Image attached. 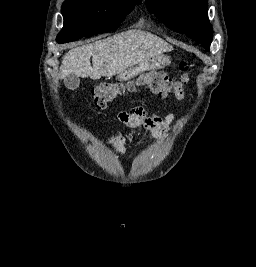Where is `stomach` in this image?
Returning a JSON list of instances; mask_svg holds the SVG:
<instances>
[{"instance_id":"1","label":"stomach","mask_w":256,"mask_h":267,"mask_svg":"<svg viewBox=\"0 0 256 267\" xmlns=\"http://www.w3.org/2000/svg\"><path fill=\"white\" fill-rule=\"evenodd\" d=\"M163 60L164 62H137V67H168V56H163Z\"/></svg>"}]
</instances>
